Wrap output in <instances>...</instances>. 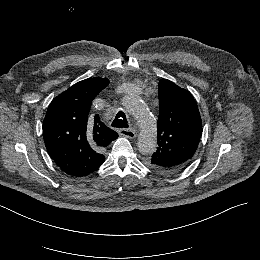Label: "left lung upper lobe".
Listing matches in <instances>:
<instances>
[{"label": "left lung upper lobe", "mask_w": 260, "mask_h": 260, "mask_svg": "<svg viewBox=\"0 0 260 260\" xmlns=\"http://www.w3.org/2000/svg\"><path fill=\"white\" fill-rule=\"evenodd\" d=\"M158 148L147 162L156 171L174 174L192 161L202 134V121L193 96L173 82L159 83Z\"/></svg>", "instance_id": "obj_1"}]
</instances>
